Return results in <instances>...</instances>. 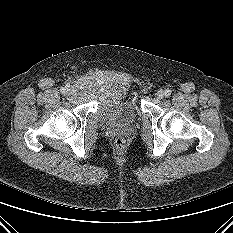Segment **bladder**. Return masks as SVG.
<instances>
[{"label":"bladder","instance_id":"31cf9c89","mask_svg":"<svg viewBox=\"0 0 233 233\" xmlns=\"http://www.w3.org/2000/svg\"><path fill=\"white\" fill-rule=\"evenodd\" d=\"M79 87L96 93V113L102 121L112 126H128L138 119L139 101L128 80L114 75L90 76Z\"/></svg>","mask_w":233,"mask_h":233}]
</instances>
